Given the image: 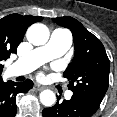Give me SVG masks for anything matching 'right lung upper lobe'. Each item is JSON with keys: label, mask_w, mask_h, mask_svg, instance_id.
I'll list each match as a JSON object with an SVG mask.
<instances>
[{"label": "right lung upper lobe", "mask_w": 117, "mask_h": 117, "mask_svg": "<svg viewBox=\"0 0 117 117\" xmlns=\"http://www.w3.org/2000/svg\"><path fill=\"white\" fill-rule=\"evenodd\" d=\"M42 19V17L19 14H10L0 19V62L9 58L11 53H16L27 28ZM2 69L3 65L0 63V81Z\"/></svg>", "instance_id": "1"}]
</instances>
